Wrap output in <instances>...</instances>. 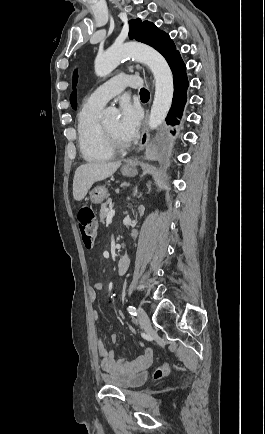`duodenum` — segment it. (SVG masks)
Wrapping results in <instances>:
<instances>
[{"label": "duodenum", "mask_w": 265, "mask_h": 434, "mask_svg": "<svg viewBox=\"0 0 265 434\" xmlns=\"http://www.w3.org/2000/svg\"><path fill=\"white\" fill-rule=\"evenodd\" d=\"M130 258H131L130 254H124L123 256H121L118 259L117 265H116V275L117 276H122L127 272Z\"/></svg>", "instance_id": "obj_1"}]
</instances>
